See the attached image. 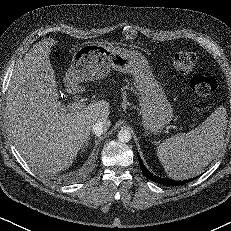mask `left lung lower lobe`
<instances>
[{"label":"left lung lower lobe","instance_id":"0a47b994","mask_svg":"<svg viewBox=\"0 0 231 231\" xmlns=\"http://www.w3.org/2000/svg\"><path fill=\"white\" fill-rule=\"evenodd\" d=\"M138 160H139V164H140V167H141V170L143 171L144 175L156 182V183H159V184H163L165 186H179V185H183L187 182V180L185 181H175V180H172V179H167V178H161V177H158L156 175H153L149 170H147V168L144 166L140 156L138 155ZM190 180H193V179H190Z\"/></svg>","mask_w":231,"mask_h":231}]
</instances>
